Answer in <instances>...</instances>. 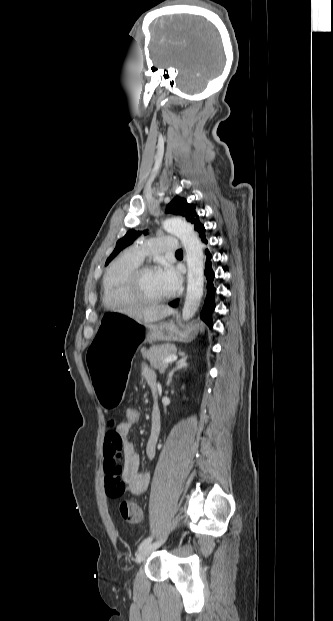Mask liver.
I'll list each match as a JSON object with an SVG mask.
<instances>
[{
    "label": "liver",
    "mask_w": 333,
    "mask_h": 621,
    "mask_svg": "<svg viewBox=\"0 0 333 621\" xmlns=\"http://www.w3.org/2000/svg\"><path fill=\"white\" fill-rule=\"evenodd\" d=\"M174 310L168 306L158 305L141 310H127L125 314L137 322L153 323L171 315Z\"/></svg>",
    "instance_id": "6515ba94"
}]
</instances>
